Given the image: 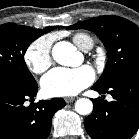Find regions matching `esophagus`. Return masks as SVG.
Listing matches in <instances>:
<instances>
[{
	"label": "esophagus",
	"instance_id": "esophagus-1",
	"mask_svg": "<svg viewBox=\"0 0 139 139\" xmlns=\"http://www.w3.org/2000/svg\"><path fill=\"white\" fill-rule=\"evenodd\" d=\"M74 100H75L74 97H67V98H65L66 103H71V102H73Z\"/></svg>",
	"mask_w": 139,
	"mask_h": 139
}]
</instances>
